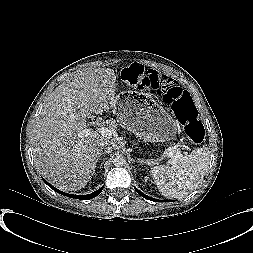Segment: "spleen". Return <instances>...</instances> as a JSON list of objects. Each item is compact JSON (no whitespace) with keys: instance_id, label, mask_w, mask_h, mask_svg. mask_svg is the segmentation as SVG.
<instances>
[{"instance_id":"1","label":"spleen","mask_w":253,"mask_h":253,"mask_svg":"<svg viewBox=\"0 0 253 253\" xmlns=\"http://www.w3.org/2000/svg\"><path fill=\"white\" fill-rule=\"evenodd\" d=\"M210 151L197 148L190 154L171 160L170 165H159L150 173L160 193L168 199L187 196L202 181L209 165Z\"/></svg>"}]
</instances>
